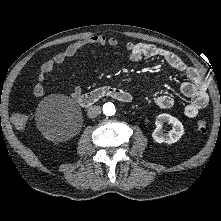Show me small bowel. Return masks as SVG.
Here are the masks:
<instances>
[{
	"label": "small bowel",
	"mask_w": 221,
	"mask_h": 221,
	"mask_svg": "<svg viewBox=\"0 0 221 221\" xmlns=\"http://www.w3.org/2000/svg\"><path fill=\"white\" fill-rule=\"evenodd\" d=\"M118 44L119 41L116 37H106L104 35H93L73 42L64 50L42 64L36 83L33 87V94L36 97H42L45 94L43 86L45 78L55 70L57 65L62 64L68 58L74 57L83 48L88 46L105 45L116 47ZM125 47L128 51L129 59L132 62H138L145 58H162L171 68L185 74L187 81L181 85V92L189 99L184 107L186 116L194 118L198 115L200 110L208 105L209 96L207 94L206 84L198 70L194 67L187 66L175 53L147 43L128 42ZM81 91V87H76L71 94L72 97L78 98ZM155 104L159 108L168 109L174 105V99L169 95H159L155 98Z\"/></svg>",
	"instance_id": "small-bowel-1"
}]
</instances>
